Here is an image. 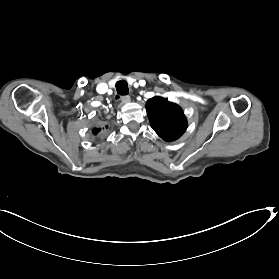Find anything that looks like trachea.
<instances>
[{"mask_svg":"<svg viewBox=\"0 0 279 279\" xmlns=\"http://www.w3.org/2000/svg\"><path fill=\"white\" fill-rule=\"evenodd\" d=\"M116 90L119 95H127L129 92L127 82L125 80H119L116 83Z\"/></svg>","mask_w":279,"mask_h":279,"instance_id":"1","label":"trachea"}]
</instances>
